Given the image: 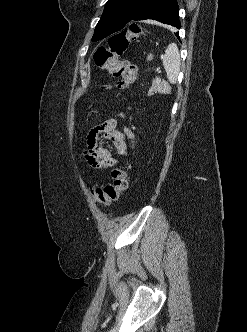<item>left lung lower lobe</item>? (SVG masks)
<instances>
[{
	"label": "left lung lower lobe",
	"instance_id": "obj_1",
	"mask_svg": "<svg viewBox=\"0 0 247 332\" xmlns=\"http://www.w3.org/2000/svg\"><path fill=\"white\" fill-rule=\"evenodd\" d=\"M156 20L180 28L179 7L176 0H147L131 18L130 23ZM178 37V34H176ZM179 38V37H178Z\"/></svg>",
	"mask_w": 247,
	"mask_h": 332
}]
</instances>
